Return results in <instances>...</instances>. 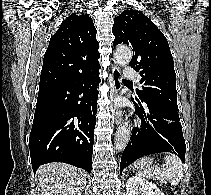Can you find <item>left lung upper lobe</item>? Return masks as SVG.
I'll use <instances>...</instances> for the list:
<instances>
[{"mask_svg": "<svg viewBox=\"0 0 211 195\" xmlns=\"http://www.w3.org/2000/svg\"><path fill=\"white\" fill-rule=\"evenodd\" d=\"M112 32L114 45L124 43L133 48L130 65L140 73L143 84L137 97L178 112L174 62L164 34L137 10H124L116 17Z\"/></svg>", "mask_w": 211, "mask_h": 195, "instance_id": "5c2ea615", "label": "left lung upper lobe"}]
</instances>
